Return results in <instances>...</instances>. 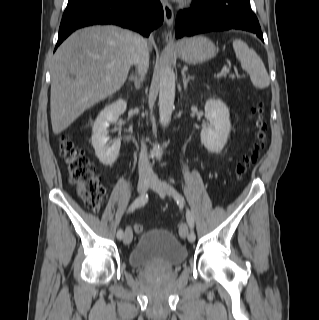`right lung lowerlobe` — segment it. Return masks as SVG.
Listing matches in <instances>:
<instances>
[{"instance_id":"right-lung-lower-lobe-1","label":"right lung lower lobe","mask_w":319,"mask_h":320,"mask_svg":"<svg viewBox=\"0 0 319 320\" xmlns=\"http://www.w3.org/2000/svg\"><path fill=\"white\" fill-rule=\"evenodd\" d=\"M164 19L159 0H80L68 6L62 17L58 42L78 28L94 24H114L148 37Z\"/></svg>"}]
</instances>
